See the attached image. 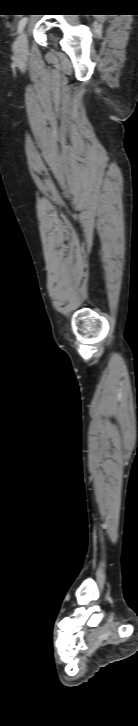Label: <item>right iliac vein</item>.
Returning a JSON list of instances; mask_svg holds the SVG:
<instances>
[{"label":"right iliac vein","mask_w":138,"mask_h":726,"mask_svg":"<svg viewBox=\"0 0 138 726\" xmlns=\"http://www.w3.org/2000/svg\"><path fill=\"white\" fill-rule=\"evenodd\" d=\"M28 33L23 31L14 45V53L17 61H24L27 55Z\"/></svg>","instance_id":"63e3f726"}]
</instances>
